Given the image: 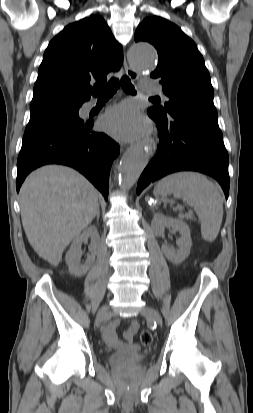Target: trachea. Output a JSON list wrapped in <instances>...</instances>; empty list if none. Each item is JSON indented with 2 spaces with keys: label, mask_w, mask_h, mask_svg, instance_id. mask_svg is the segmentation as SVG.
Wrapping results in <instances>:
<instances>
[{
  "label": "trachea",
  "mask_w": 253,
  "mask_h": 413,
  "mask_svg": "<svg viewBox=\"0 0 253 413\" xmlns=\"http://www.w3.org/2000/svg\"><path fill=\"white\" fill-rule=\"evenodd\" d=\"M120 86L126 93L136 94L135 88L132 85L131 80L127 76H123L121 78V80H119L118 78H112L107 83L105 88H103L100 91H96L94 89H91L90 93L93 96L98 97L99 99H107V98L112 97L116 93V91L118 90V88Z\"/></svg>",
  "instance_id": "3493384b"
}]
</instances>
